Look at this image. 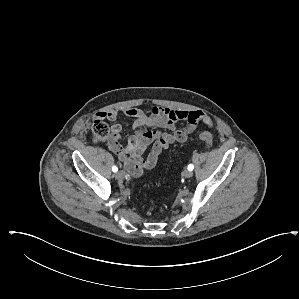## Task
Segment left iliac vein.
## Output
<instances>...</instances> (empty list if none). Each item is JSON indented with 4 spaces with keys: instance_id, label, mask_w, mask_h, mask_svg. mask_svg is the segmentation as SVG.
<instances>
[{
    "instance_id": "4c4485c4",
    "label": "left iliac vein",
    "mask_w": 299,
    "mask_h": 299,
    "mask_svg": "<svg viewBox=\"0 0 299 299\" xmlns=\"http://www.w3.org/2000/svg\"><path fill=\"white\" fill-rule=\"evenodd\" d=\"M182 175H183L185 178H190V177L193 175V173H192V171H190V170H185V171L182 173Z\"/></svg>"
}]
</instances>
